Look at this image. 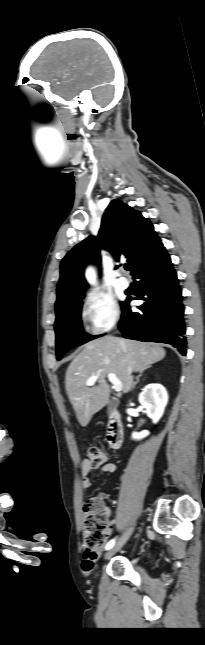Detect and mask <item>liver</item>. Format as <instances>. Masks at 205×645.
Wrapping results in <instances>:
<instances>
[{"instance_id":"obj_1","label":"liver","mask_w":205,"mask_h":645,"mask_svg":"<svg viewBox=\"0 0 205 645\" xmlns=\"http://www.w3.org/2000/svg\"><path fill=\"white\" fill-rule=\"evenodd\" d=\"M165 354L158 345L113 336L86 343L65 376L66 392L80 425L87 426L91 417L109 402L110 388L106 381L109 373L116 375L122 382L123 393H127L133 386L132 373L145 370ZM94 375H99L97 384L88 387L86 381Z\"/></svg>"}]
</instances>
